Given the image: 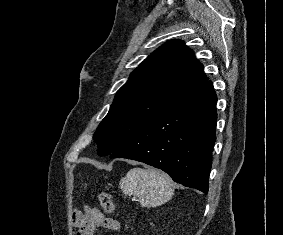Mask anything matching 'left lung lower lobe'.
Listing matches in <instances>:
<instances>
[{
    "label": "left lung lower lobe",
    "mask_w": 283,
    "mask_h": 235,
    "mask_svg": "<svg viewBox=\"0 0 283 235\" xmlns=\"http://www.w3.org/2000/svg\"><path fill=\"white\" fill-rule=\"evenodd\" d=\"M217 97L212 83L167 109L110 154L144 162L184 186L208 192L216 140Z\"/></svg>",
    "instance_id": "obj_1"
}]
</instances>
